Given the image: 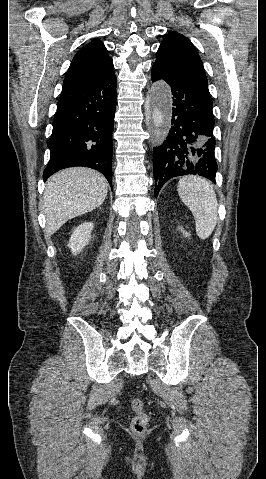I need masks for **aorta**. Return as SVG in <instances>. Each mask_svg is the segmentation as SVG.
Wrapping results in <instances>:
<instances>
[{
    "label": "aorta",
    "mask_w": 266,
    "mask_h": 479,
    "mask_svg": "<svg viewBox=\"0 0 266 479\" xmlns=\"http://www.w3.org/2000/svg\"><path fill=\"white\" fill-rule=\"evenodd\" d=\"M152 119H153V122H154V125L156 127H158V130H157V135L158 136H161L163 135L165 132L161 131L159 128L164 124V114L161 110V106L160 105H155L153 107V110H152Z\"/></svg>",
    "instance_id": "aorta-1"
}]
</instances>
